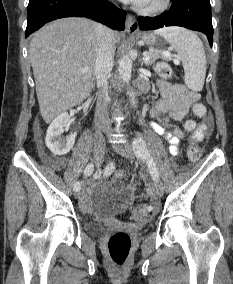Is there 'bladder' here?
I'll return each instance as SVG.
<instances>
[{"mask_svg":"<svg viewBox=\"0 0 233 284\" xmlns=\"http://www.w3.org/2000/svg\"><path fill=\"white\" fill-rule=\"evenodd\" d=\"M131 196L132 190L129 185L123 181L111 180L97 184L90 192L86 193L84 200L100 206H119L127 202ZM105 228L106 225L97 220H89L85 224L86 231L91 235H98Z\"/></svg>","mask_w":233,"mask_h":284,"instance_id":"31cf9c89","label":"bladder"}]
</instances>
